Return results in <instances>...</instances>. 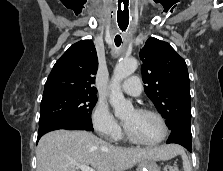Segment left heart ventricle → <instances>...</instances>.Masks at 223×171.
I'll return each mask as SVG.
<instances>
[{"label": "left heart ventricle", "mask_w": 223, "mask_h": 171, "mask_svg": "<svg viewBox=\"0 0 223 171\" xmlns=\"http://www.w3.org/2000/svg\"><path fill=\"white\" fill-rule=\"evenodd\" d=\"M126 129L138 140L154 142L162 134V127L156 117L138 113L135 110L127 112L123 117Z\"/></svg>", "instance_id": "obj_1"}]
</instances>
